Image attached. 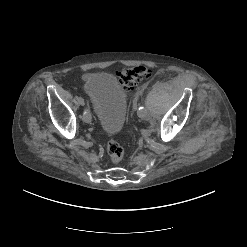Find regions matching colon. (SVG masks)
Wrapping results in <instances>:
<instances>
[{
	"mask_svg": "<svg viewBox=\"0 0 247 247\" xmlns=\"http://www.w3.org/2000/svg\"><path fill=\"white\" fill-rule=\"evenodd\" d=\"M152 71L145 66L123 69L118 73L120 84L126 89H133L141 82L148 80ZM107 153L113 164L119 163L123 158V148L116 139H110L107 143Z\"/></svg>",
	"mask_w": 247,
	"mask_h": 247,
	"instance_id": "colon-1",
	"label": "colon"
}]
</instances>
